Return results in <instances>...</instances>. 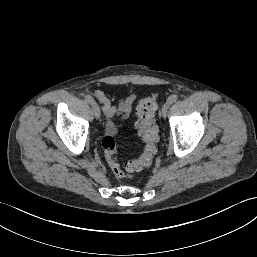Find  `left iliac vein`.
Listing matches in <instances>:
<instances>
[{"label":"left iliac vein","instance_id":"4c4485c4","mask_svg":"<svg viewBox=\"0 0 257 257\" xmlns=\"http://www.w3.org/2000/svg\"><path fill=\"white\" fill-rule=\"evenodd\" d=\"M170 102L167 101L164 103V105L162 106V109H161V114L163 117H165L167 115V111H168V108L170 107Z\"/></svg>","mask_w":257,"mask_h":257}]
</instances>
